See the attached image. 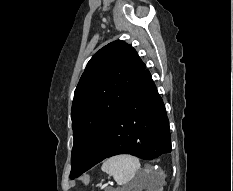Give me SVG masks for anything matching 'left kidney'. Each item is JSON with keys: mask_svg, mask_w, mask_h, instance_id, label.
Masks as SVG:
<instances>
[{"mask_svg": "<svg viewBox=\"0 0 233 191\" xmlns=\"http://www.w3.org/2000/svg\"><path fill=\"white\" fill-rule=\"evenodd\" d=\"M141 184L142 185H148L149 188H155L154 191H161V186L163 184V181H159V182H156L154 184L152 183H149V177L148 176H144L141 180H140ZM151 186V187H150Z\"/></svg>", "mask_w": 233, "mask_h": 191, "instance_id": "5707ae66", "label": "left kidney"}]
</instances>
